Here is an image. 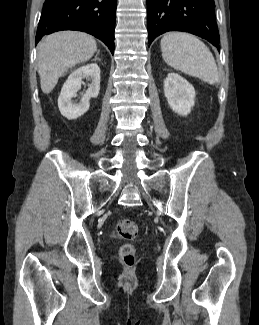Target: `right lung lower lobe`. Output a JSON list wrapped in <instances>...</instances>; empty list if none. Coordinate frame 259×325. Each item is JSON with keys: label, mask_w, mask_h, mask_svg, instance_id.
<instances>
[{"label": "right lung lower lobe", "mask_w": 259, "mask_h": 325, "mask_svg": "<svg viewBox=\"0 0 259 325\" xmlns=\"http://www.w3.org/2000/svg\"><path fill=\"white\" fill-rule=\"evenodd\" d=\"M117 0H45L35 43L61 30L87 32L114 53Z\"/></svg>", "instance_id": "98d812e1"}]
</instances>
